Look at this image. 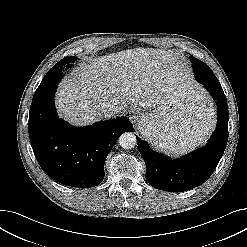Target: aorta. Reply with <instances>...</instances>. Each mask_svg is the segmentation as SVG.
Segmentation results:
<instances>
[{"mask_svg": "<svg viewBox=\"0 0 247 247\" xmlns=\"http://www.w3.org/2000/svg\"><path fill=\"white\" fill-rule=\"evenodd\" d=\"M118 142L122 148L131 149L136 146L137 139L132 132H125L119 137Z\"/></svg>", "mask_w": 247, "mask_h": 247, "instance_id": "1", "label": "aorta"}]
</instances>
